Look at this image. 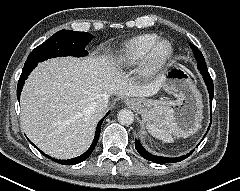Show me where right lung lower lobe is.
<instances>
[{
  "label": "right lung lower lobe",
  "mask_w": 240,
  "mask_h": 191,
  "mask_svg": "<svg viewBox=\"0 0 240 191\" xmlns=\"http://www.w3.org/2000/svg\"><path fill=\"white\" fill-rule=\"evenodd\" d=\"M37 65H31V66H27V67H24L23 70H22V74L19 78V81H18V85H17V99L18 101L20 100V94H21V91H22V88H23V85L25 83V80L27 79L28 75L31 73V71L36 67ZM110 112H108L105 117L109 114ZM104 117V118H105ZM103 118V119H104ZM103 119L98 123L97 125V130H96V134H95V137H94V140L90 146V148L82 155L76 157V158H72V159H68V160H58V159H53L51 158L50 156L44 154L42 151H40L34 144V146L42 153L44 154V156H47L49 159H52V160H55L56 162L60 163V164H63V165H74V164H78L82 161H84L85 159H87L90 154L92 153V151L94 150L95 146L97 145V142H98V139H99V135H100V128H101V124H102V121Z\"/></svg>",
  "instance_id": "obj_1"
}]
</instances>
